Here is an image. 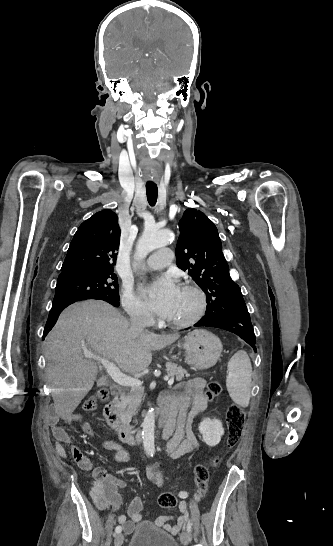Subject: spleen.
<instances>
[{
    "label": "spleen",
    "instance_id": "3e777b00",
    "mask_svg": "<svg viewBox=\"0 0 333 546\" xmlns=\"http://www.w3.org/2000/svg\"><path fill=\"white\" fill-rule=\"evenodd\" d=\"M227 390L232 400L242 407L250 401L252 366L247 353L236 352L228 362Z\"/></svg>",
    "mask_w": 333,
    "mask_h": 546
}]
</instances>
